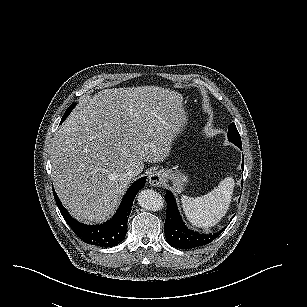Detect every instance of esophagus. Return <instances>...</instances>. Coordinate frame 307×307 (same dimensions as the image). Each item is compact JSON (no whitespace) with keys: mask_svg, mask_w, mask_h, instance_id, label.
<instances>
[{"mask_svg":"<svg viewBox=\"0 0 307 307\" xmlns=\"http://www.w3.org/2000/svg\"><path fill=\"white\" fill-rule=\"evenodd\" d=\"M164 181V173L163 171H153L150 175H149V183L152 186H161V184Z\"/></svg>","mask_w":307,"mask_h":307,"instance_id":"1","label":"esophagus"}]
</instances>
